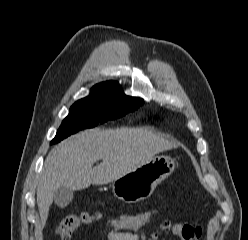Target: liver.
Wrapping results in <instances>:
<instances>
[{"label": "liver", "mask_w": 248, "mask_h": 240, "mask_svg": "<svg viewBox=\"0 0 248 240\" xmlns=\"http://www.w3.org/2000/svg\"><path fill=\"white\" fill-rule=\"evenodd\" d=\"M174 147L160 136L133 128L90 129L64 140L50 151L38 183L41 226L46 224L57 189L74 191L108 184Z\"/></svg>", "instance_id": "1"}]
</instances>
